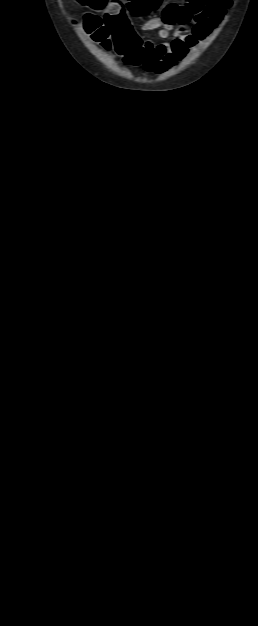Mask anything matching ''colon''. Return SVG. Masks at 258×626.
Instances as JSON below:
<instances>
[{
	"label": "colon",
	"instance_id": "colon-1",
	"mask_svg": "<svg viewBox=\"0 0 258 626\" xmlns=\"http://www.w3.org/2000/svg\"><path fill=\"white\" fill-rule=\"evenodd\" d=\"M81 5L88 6L95 10H103L109 6L110 0H77ZM160 4V0H128V5L138 13H145L154 10ZM102 20L93 13H87L84 17V28L88 34L101 41L105 37V32L101 29Z\"/></svg>",
	"mask_w": 258,
	"mask_h": 626
}]
</instances>
